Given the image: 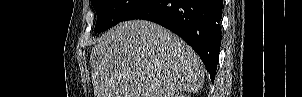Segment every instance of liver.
I'll return each instance as SVG.
<instances>
[{"label": "liver", "instance_id": "1", "mask_svg": "<svg viewBox=\"0 0 302 97\" xmlns=\"http://www.w3.org/2000/svg\"><path fill=\"white\" fill-rule=\"evenodd\" d=\"M94 97H173L197 93L205 67L180 37L150 21L117 24L98 40L91 56Z\"/></svg>", "mask_w": 302, "mask_h": 97}]
</instances>
